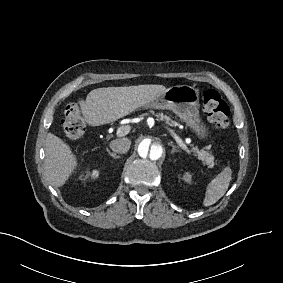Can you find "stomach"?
<instances>
[{"label":"stomach","instance_id":"stomach-1","mask_svg":"<svg viewBox=\"0 0 283 283\" xmlns=\"http://www.w3.org/2000/svg\"><path fill=\"white\" fill-rule=\"evenodd\" d=\"M199 106V90L189 85H178L166 88L161 96L144 107L173 111L203 139L207 137L208 131L201 123Z\"/></svg>","mask_w":283,"mask_h":283}]
</instances>
